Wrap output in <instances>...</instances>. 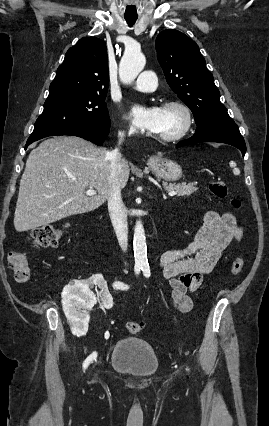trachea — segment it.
Here are the masks:
<instances>
[{"instance_id": "trachea-1", "label": "trachea", "mask_w": 269, "mask_h": 426, "mask_svg": "<svg viewBox=\"0 0 269 426\" xmlns=\"http://www.w3.org/2000/svg\"><path fill=\"white\" fill-rule=\"evenodd\" d=\"M127 24L131 27L135 24L137 18H125Z\"/></svg>"}]
</instances>
